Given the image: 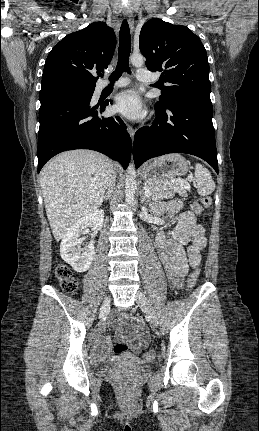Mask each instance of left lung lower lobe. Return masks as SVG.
Listing matches in <instances>:
<instances>
[{
    "label": "left lung lower lobe",
    "mask_w": 259,
    "mask_h": 431,
    "mask_svg": "<svg viewBox=\"0 0 259 431\" xmlns=\"http://www.w3.org/2000/svg\"><path fill=\"white\" fill-rule=\"evenodd\" d=\"M150 127L134 137L136 168L146 160L167 153H188L208 162L218 173L212 103L195 98H176L155 106Z\"/></svg>",
    "instance_id": "1"
}]
</instances>
